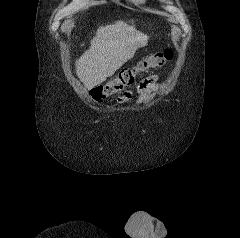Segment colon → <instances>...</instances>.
Here are the masks:
<instances>
[{
	"label": "colon",
	"mask_w": 240,
	"mask_h": 238,
	"mask_svg": "<svg viewBox=\"0 0 240 238\" xmlns=\"http://www.w3.org/2000/svg\"><path fill=\"white\" fill-rule=\"evenodd\" d=\"M172 57L173 52L171 49H165L161 52L154 53L143 59L135 67L121 70L113 80L92 88L89 93L95 100L107 98L131 86L138 73L161 67L166 62L170 61Z\"/></svg>",
	"instance_id": "1"
}]
</instances>
